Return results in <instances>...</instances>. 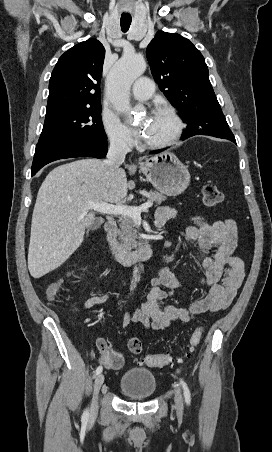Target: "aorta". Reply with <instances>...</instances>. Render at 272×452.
I'll return each instance as SVG.
<instances>
[{"mask_svg":"<svg viewBox=\"0 0 272 452\" xmlns=\"http://www.w3.org/2000/svg\"><path fill=\"white\" fill-rule=\"evenodd\" d=\"M146 70L145 60L135 54L123 55L113 66L107 78V95L116 111L130 113L132 107L129 90L132 83ZM139 275V268L134 267L130 290H134Z\"/></svg>","mask_w":272,"mask_h":452,"instance_id":"aorta-1","label":"aorta"}]
</instances>
